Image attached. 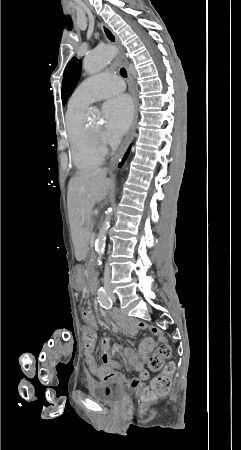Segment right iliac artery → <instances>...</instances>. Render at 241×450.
Returning a JSON list of instances; mask_svg holds the SVG:
<instances>
[{"instance_id": "right-iliac-artery-1", "label": "right iliac artery", "mask_w": 241, "mask_h": 450, "mask_svg": "<svg viewBox=\"0 0 241 450\" xmlns=\"http://www.w3.org/2000/svg\"><path fill=\"white\" fill-rule=\"evenodd\" d=\"M97 299L103 308L109 309L112 307V300L104 289L98 291Z\"/></svg>"}]
</instances>
